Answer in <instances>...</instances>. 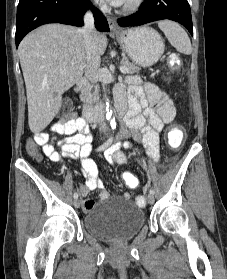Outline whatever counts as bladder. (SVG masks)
Returning <instances> with one entry per match:
<instances>
[{
	"mask_svg": "<svg viewBox=\"0 0 227 279\" xmlns=\"http://www.w3.org/2000/svg\"><path fill=\"white\" fill-rule=\"evenodd\" d=\"M144 224L143 210L123 197L99 202L84 218L86 232L97 239L107 241L132 237Z\"/></svg>",
	"mask_w": 227,
	"mask_h": 279,
	"instance_id": "bladder-1",
	"label": "bladder"
}]
</instances>
